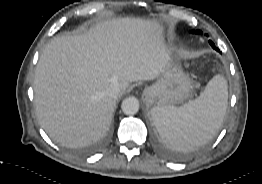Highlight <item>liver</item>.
Segmentation results:
<instances>
[{
	"mask_svg": "<svg viewBox=\"0 0 262 184\" xmlns=\"http://www.w3.org/2000/svg\"><path fill=\"white\" fill-rule=\"evenodd\" d=\"M171 64L156 20L113 18L77 35L53 38L38 61L34 93L37 116L49 137L67 147L102 138L116 100L112 84L154 80Z\"/></svg>",
	"mask_w": 262,
	"mask_h": 184,
	"instance_id": "6515ba94",
	"label": "liver"
}]
</instances>
